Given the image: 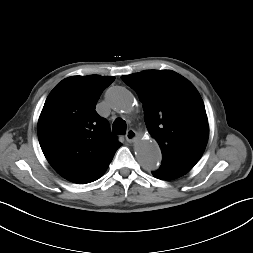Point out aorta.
I'll use <instances>...</instances> for the list:
<instances>
[{
	"instance_id": "1",
	"label": "aorta",
	"mask_w": 253,
	"mask_h": 253,
	"mask_svg": "<svg viewBox=\"0 0 253 253\" xmlns=\"http://www.w3.org/2000/svg\"><path fill=\"white\" fill-rule=\"evenodd\" d=\"M106 100L108 105L116 112L127 114L133 109V95L124 87L115 86L110 88L106 93ZM135 154L143 168L147 170L158 168L161 151L156 141L139 138L135 144Z\"/></svg>"
}]
</instances>
